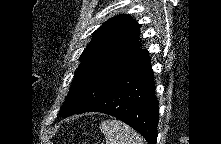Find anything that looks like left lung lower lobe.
<instances>
[{
	"instance_id": "left-lung-lower-lobe-1",
	"label": "left lung lower lobe",
	"mask_w": 221,
	"mask_h": 144,
	"mask_svg": "<svg viewBox=\"0 0 221 144\" xmlns=\"http://www.w3.org/2000/svg\"><path fill=\"white\" fill-rule=\"evenodd\" d=\"M154 87L150 57L144 51L85 112L115 116L138 131L149 144H156L159 110Z\"/></svg>"
}]
</instances>
